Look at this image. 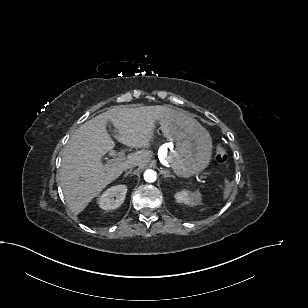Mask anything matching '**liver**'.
<instances>
[{
	"mask_svg": "<svg viewBox=\"0 0 308 308\" xmlns=\"http://www.w3.org/2000/svg\"><path fill=\"white\" fill-rule=\"evenodd\" d=\"M168 106H115L81 125L63 150L59 180L69 209L78 215L88 204L133 166L144 167L151 152L142 149L121 162L103 164L101 158L115 147L106 127L117 129L115 138L133 148H149L155 137L156 122L171 113Z\"/></svg>",
	"mask_w": 308,
	"mask_h": 308,
	"instance_id": "liver-1",
	"label": "liver"
}]
</instances>
